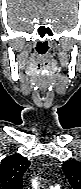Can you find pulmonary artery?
I'll return each instance as SVG.
<instances>
[{
	"label": "pulmonary artery",
	"mask_w": 81,
	"mask_h": 189,
	"mask_svg": "<svg viewBox=\"0 0 81 189\" xmlns=\"http://www.w3.org/2000/svg\"><path fill=\"white\" fill-rule=\"evenodd\" d=\"M51 187H56V188H59V186H58V185H55V186H51Z\"/></svg>",
	"instance_id": "obj_1"
}]
</instances>
